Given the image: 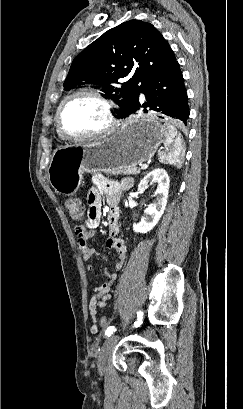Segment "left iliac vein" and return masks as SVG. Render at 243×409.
Here are the masks:
<instances>
[{
	"mask_svg": "<svg viewBox=\"0 0 243 409\" xmlns=\"http://www.w3.org/2000/svg\"><path fill=\"white\" fill-rule=\"evenodd\" d=\"M117 340V335H112L105 340L97 361L98 371L100 374H103V372L105 371L108 356L117 343Z\"/></svg>",
	"mask_w": 243,
	"mask_h": 409,
	"instance_id": "4c4485c4",
	"label": "left iliac vein"
}]
</instances>
